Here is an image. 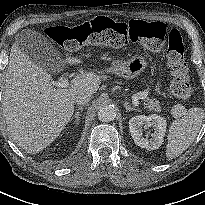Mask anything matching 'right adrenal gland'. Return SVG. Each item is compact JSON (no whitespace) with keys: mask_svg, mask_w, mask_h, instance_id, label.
Masks as SVG:
<instances>
[{"mask_svg":"<svg viewBox=\"0 0 205 205\" xmlns=\"http://www.w3.org/2000/svg\"><path fill=\"white\" fill-rule=\"evenodd\" d=\"M83 109H84L83 106L78 107V109L76 110L75 114H74L73 117L71 118V121L75 118L74 122H75V123H78V121H79V116H80V111L83 110Z\"/></svg>","mask_w":205,"mask_h":205,"instance_id":"2a0ac1e0","label":"right adrenal gland"}]
</instances>
